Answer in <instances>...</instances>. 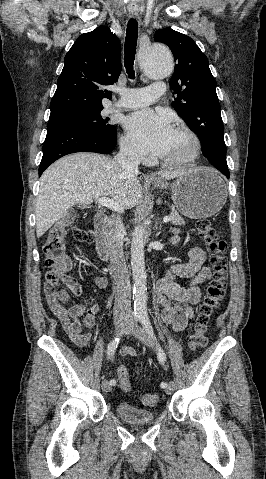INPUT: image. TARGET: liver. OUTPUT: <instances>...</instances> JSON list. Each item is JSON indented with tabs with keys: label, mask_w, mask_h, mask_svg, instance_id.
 Wrapping results in <instances>:
<instances>
[{
	"label": "liver",
	"mask_w": 266,
	"mask_h": 479,
	"mask_svg": "<svg viewBox=\"0 0 266 479\" xmlns=\"http://www.w3.org/2000/svg\"><path fill=\"white\" fill-rule=\"evenodd\" d=\"M181 172H159L167 180ZM141 177L122 169L107 156L81 152L65 156L41 176L36 200V234L40 238L78 203L91 204L94 198L111 197L121 207L133 208L143 198Z\"/></svg>",
	"instance_id": "obj_1"
}]
</instances>
